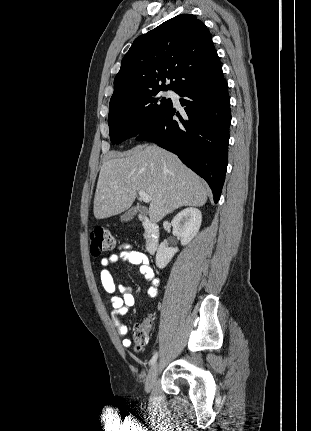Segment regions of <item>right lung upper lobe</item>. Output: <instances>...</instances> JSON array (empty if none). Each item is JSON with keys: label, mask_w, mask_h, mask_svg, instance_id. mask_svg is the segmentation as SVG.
Wrapping results in <instances>:
<instances>
[{"label": "right lung upper lobe", "mask_w": 311, "mask_h": 431, "mask_svg": "<svg viewBox=\"0 0 311 431\" xmlns=\"http://www.w3.org/2000/svg\"><path fill=\"white\" fill-rule=\"evenodd\" d=\"M221 70L211 35L194 15L176 16L139 36L124 56L111 99L139 92L173 90ZM167 79H174L165 85Z\"/></svg>", "instance_id": "cb5924a9"}]
</instances>
